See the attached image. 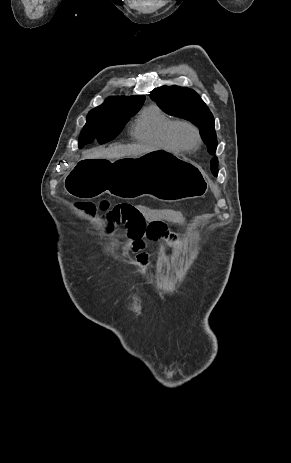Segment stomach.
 Returning a JSON list of instances; mask_svg holds the SVG:
<instances>
[{
  "label": "stomach",
  "mask_w": 291,
  "mask_h": 463,
  "mask_svg": "<svg viewBox=\"0 0 291 463\" xmlns=\"http://www.w3.org/2000/svg\"><path fill=\"white\" fill-rule=\"evenodd\" d=\"M65 186L70 195L84 199L108 193L121 199L150 196L174 202L204 196L208 178L195 162L175 153L154 150L117 160L82 157L66 178Z\"/></svg>",
  "instance_id": "1"
}]
</instances>
